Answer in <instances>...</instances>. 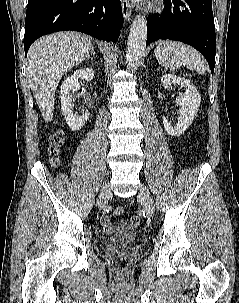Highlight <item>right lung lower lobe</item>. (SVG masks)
<instances>
[{
    "label": "right lung lower lobe",
    "mask_w": 239,
    "mask_h": 303,
    "mask_svg": "<svg viewBox=\"0 0 239 303\" xmlns=\"http://www.w3.org/2000/svg\"><path fill=\"white\" fill-rule=\"evenodd\" d=\"M123 25L120 0H29L24 48L39 37L72 30L95 38L116 41Z\"/></svg>",
    "instance_id": "obj_1"
}]
</instances>
